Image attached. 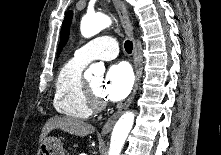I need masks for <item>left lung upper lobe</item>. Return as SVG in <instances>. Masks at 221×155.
<instances>
[{
	"instance_id": "5c2ea615",
	"label": "left lung upper lobe",
	"mask_w": 221,
	"mask_h": 155,
	"mask_svg": "<svg viewBox=\"0 0 221 155\" xmlns=\"http://www.w3.org/2000/svg\"><path fill=\"white\" fill-rule=\"evenodd\" d=\"M71 18H72V11H69L64 19L62 29H61V38H60V43L58 46V54L61 52L62 48L65 46L67 43L68 37H69V27L71 24Z\"/></svg>"
}]
</instances>
